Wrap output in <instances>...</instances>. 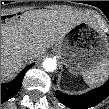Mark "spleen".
Masks as SVG:
<instances>
[{"label":"spleen","mask_w":109,"mask_h":109,"mask_svg":"<svg viewBox=\"0 0 109 109\" xmlns=\"http://www.w3.org/2000/svg\"><path fill=\"white\" fill-rule=\"evenodd\" d=\"M109 77V62L99 65L96 69L83 74V79L89 86L102 85Z\"/></svg>","instance_id":"spleen-1"}]
</instances>
